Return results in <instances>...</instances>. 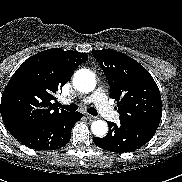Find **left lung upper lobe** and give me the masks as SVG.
Wrapping results in <instances>:
<instances>
[{"label":"left lung upper lobe","instance_id":"5c2ea615","mask_svg":"<svg viewBox=\"0 0 182 182\" xmlns=\"http://www.w3.org/2000/svg\"><path fill=\"white\" fill-rule=\"evenodd\" d=\"M110 86V97L118 102L120 120L145 122L158 127L162 116L159 89L150 73L137 61L112 49L94 50Z\"/></svg>","mask_w":182,"mask_h":182}]
</instances>
